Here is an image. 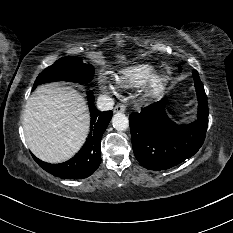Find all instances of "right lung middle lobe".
I'll list each match as a JSON object with an SVG mask.
<instances>
[{"label":"right lung middle lobe","mask_w":233,"mask_h":233,"mask_svg":"<svg viewBox=\"0 0 233 233\" xmlns=\"http://www.w3.org/2000/svg\"><path fill=\"white\" fill-rule=\"evenodd\" d=\"M93 75L94 67L92 65L83 63L82 60L77 57H64L57 60L53 65L39 74L34 83L33 90L39 84L59 80L85 84L91 81Z\"/></svg>","instance_id":"1"}]
</instances>
